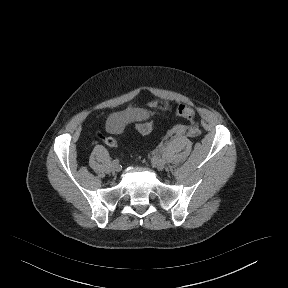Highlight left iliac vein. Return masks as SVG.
Instances as JSON below:
<instances>
[{
    "mask_svg": "<svg viewBox=\"0 0 288 288\" xmlns=\"http://www.w3.org/2000/svg\"><path fill=\"white\" fill-rule=\"evenodd\" d=\"M151 163H152V166L159 169V170H162L165 166V160L160 158V157H153L151 159Z\"/></svg>",
    "mask_w": 288,
    "mask_h": 288,
    "instance_id": "1",
    "label": "left iliac vein"
}]
</instances>
